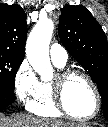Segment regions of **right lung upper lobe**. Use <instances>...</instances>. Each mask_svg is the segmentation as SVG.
Wrapping results in <instances>:
<instances>
[{
  "label": "right lung upper lobe",
  "mask_w": 108,
  "mask_h": 127,
  "mask_svg": "<svg viewBox=\"0 0 108 127\" xmlns=\"http://www.w3.org/2000/svg\"><path fill=\"white\" fill-rule=\"evenodd\" d=\"M26 13L17 4L0 5V53L25 56Z\"/></svg>",
  "instance_id": "right-lung-upper-lobe-1"
}]
</instances>
